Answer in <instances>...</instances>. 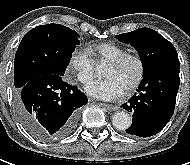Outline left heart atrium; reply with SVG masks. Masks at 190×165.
<instances>
[{
	"label": "left heart atrium",
	"mask_w": 190,
	"mask_h": 165,
	"mask_svg": "<svg viewBox=\"0 0 190 165\" xmlns=\"http://www.w3.org/2000/svg\"><path fill=\"white\" fill-rule=\"evenodd\" d=\"M85 90L92 97L113 100L121 96L125 89L115 78H106L89 84Z\"/></svg>",
	"instance_id": "obj_1"
}]
</instances>
